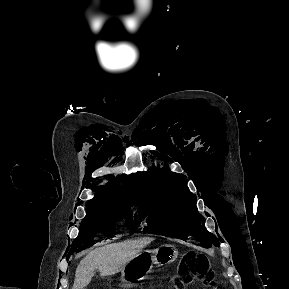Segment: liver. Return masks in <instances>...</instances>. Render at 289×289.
Returning <instances> with one entry per match:
<instances>
[{"label":"liver","mask_w":289,"mask_h":289,"mask_svg":"<svg viewBox=\"0 0 289 289\" xmlns=\"http://www.w3.org/2000/svg\"><path fill=\"white\" fill-rule=\"evenodd\" d=\"M153 239L142 238L109 244L90 252L84 257L75 272L72 289H83L99 270L100 276H109L125 267Z\"/></svg>","instance_id":"1"}]
</instances>
